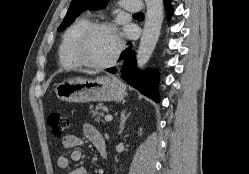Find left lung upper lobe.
Masks as SVG:
<instances>
[{"label": "left lung upper lobe", "instance_id": "1", "mask_svg": "<svg viewBox=\"0 0 249 174\" xmlns=\"http://www.w3.org/2000/svg\"><path fill=\"white\" fill-rule=\"evenodd\" d=\"M107 0H72L68 12L57 31H62L68 27L72 21L84 10L99 9L106 5Z\"/></svg>", "mask_w": 249, "mask_h": 174}]
</instances>
